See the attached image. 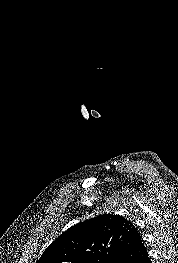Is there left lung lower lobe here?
Masks as SVG:
<instances>
[{"label": "left lung lower lobe", "mask_w": 178, "mask_h": 263, "mask_svg": "<svg viewBox=\"0 0 178 263\" xmlns=\"http://www.w3.org/2000/svg\"><path fill=\"white\" fill-rule=\"evenodd\" d=\"M110 263H151L146 247L134 225Z\"/></svg>", "instance_id": "left-lung-lower-lobe-1"}]
</instances>
